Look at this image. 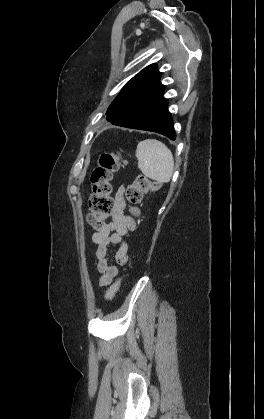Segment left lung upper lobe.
I'll use <instances>...</instances> for the list:
<instances>
[{"label":"left lung upper lobe","instance_id":"left-lung-upper-lobe-1","mask_svg":"<svg viewBox=\"0 0 264 419\" xmlns=\"http://www.w3.org/2000/svg\"><path fill=\"white\" fill-rule=\"evenodd\" d=\"M156 64H151L142 69L119 92L116 99L109 106L106 112L107 117H112L126 111L129 105L137 99L149 86H154L159 82L162 75L157 69Z\"/></svg>","mask_w":264,"mask_h":419}]
</instances>
